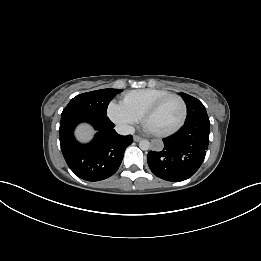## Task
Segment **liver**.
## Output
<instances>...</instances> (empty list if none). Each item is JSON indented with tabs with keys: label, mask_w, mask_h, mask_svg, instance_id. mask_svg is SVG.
Here are the masks:
<instances>
[{
	"label": "liver",
	"mask_w": 261,
	"mask_h": 261,
	"mask_svg": "<svg viewBox=\"0 0 261 261\" xmlns=\"http://www.w3.org/2000/svg\"><path fill=\"white\" fill-rule=\"evenodd\" d=\"M94 133L92 127L88 124H81L76 129V136L82 142H88L91 140Z\"/></svg>",
	"instance_id": "6515ba94"
}]
</instances>
